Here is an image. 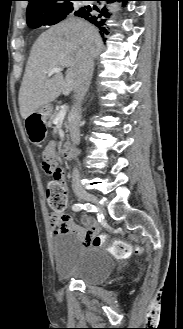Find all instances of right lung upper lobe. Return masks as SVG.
<instances>
[{
  "label": "right lung upper lobe",
  "mask_w": 183,
  "mask_h": 329,
  "mask_svg": "<svg viewBox=\"0 0 183 329\" xmlns=\"http://www.w3.org/2000/svg\"><path fill=\"white\" fill-rule=\"evenodd\" d=\"M27 8V23L40 22L50 19L55 9L61 4L67 3L70 0H28Z\"/></svg>",
  "instance_id": "right-lung-upper-lobe-1"
}]
</instances>
